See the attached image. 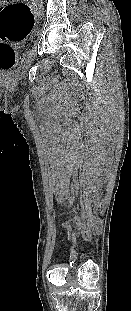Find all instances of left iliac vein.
<instances>
[{
    "instance_id": "obj_1",
    "label": "left iliac vein",
    "mask_w": 131,
    "mask_h": 311,
    "mask_svg": "<svg viewBox=\"0 0 131 311\" xmlns=\"http://www.w3.org/2000/svg\"><path fill=\"white\" fill-rule=\"evenodd\" d=\"M37 8H38V11L41 12V9H42V4H41V0H37Z\"/></svg>"
}]
</instances>
